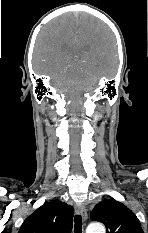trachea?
<instances>
[{"label": "trachea", "instance_id": "1", "mask_svg": "<svg viewBox=\"0 0 148 233\" xmlns=\"http://www.w3.org/2000/svg\"><path fill=\"white\" fill-rule=\"evenodd\" d=\"M74 232L82 233V217L81 215H76L74 218Z\"/></svg>", "mask_w": 148, "mask_h": 233}]
</instances>
